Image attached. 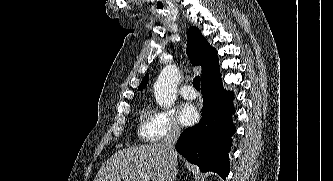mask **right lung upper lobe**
Masks as SVG:
<instances>
[{"label":"right lung upper lobe","mask_w":333,"mask_h":181,"mask_svg":"<svg viewBox=\"0 0 333 181\" xmlns=\"http://www.w3.org/2000/svg\"><path fill=\"white\" fill-rule=\"evenodd\" d=\"M187 54L193 65L202 66L201 85L220 79L219 61L216 50L211 47L200 30L190 27L187 32ZM148 82V74L143 78L138 90H143Z\"/></svg>","instance_id":"right-lung-upper-lobe-1"}]
</instances>
